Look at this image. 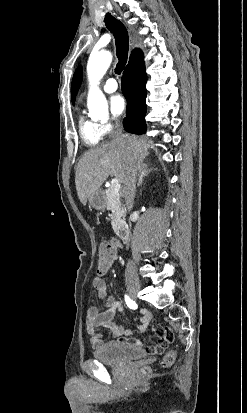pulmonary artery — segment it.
Segmentation results:
<instances>
[{
  "label": "pulmonary artery",
  "mask_w": 247,
  "mask_h": 413,
  "mask_svg": "<svg viewBox=\"0 0 247 413\" xmlns=\"http://www.w3.org/2000/svg\"><path fill=\"white\" fill-rule=\"evenodd\" d=\"M102 88L106 93H112L118 88V83L114 78H108L102 83Z\"/></svg>",
  "instance_id": "obj_1"
}]
</instances>
